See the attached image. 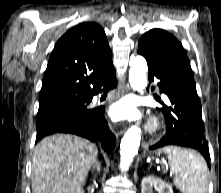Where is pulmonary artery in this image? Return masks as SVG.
<instances>
[{
  "label": "pulmonary artery",
  "mask_w": 221,
  "mask_h": 193,
  "mask_svg": "<svg viewBox=\"0 0 221 193\" xmlns=\"http://www.w3.org/2000/svg\"><path fill=\"white\" fill-rule=\"evenodd\" d=\"M163 97L166 101H168V97L166 95H163Z\"/></svg>",
  "instance_id": "1"
}]
</instances>
